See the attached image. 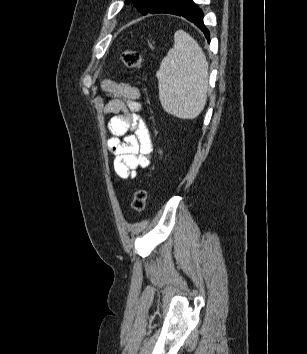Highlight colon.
I'll return each instance as SVG.
<instances>
[{
	"label": "colon",
	"mask_w": 307,
	"mask_h": 354,
	"mask_svg": "<svg viewBox=\"0 0 307 354\" xmlns=\"http://www.w3.org/2000/svg\"><path fill=\"white\" fill-rule=\"evenodd\" d=\"M121 60L123 64L133 70H138L141 67L140 53L133 49H124L121 52ZM147 203V192L143 187L135 190L132 197V208L135 211L141 212L145 209Z\"/></svg>",
	"instance_id": "obj_1"
}]
</instances>
